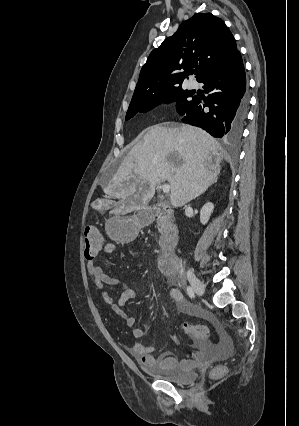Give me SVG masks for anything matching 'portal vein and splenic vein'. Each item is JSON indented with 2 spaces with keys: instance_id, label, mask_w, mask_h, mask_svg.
Returning <instances> with one entry per match:
<instances>
[{
  "instance_id": "1",
  "label": "portal vein and splenic vein",
  "mask_w": 299,
  "mask_h": 426,
  "mask_svg": "<svg viewBox=\"0 0 299 426\" xmlns=\"http://www.w3.org/2000/svg\"><path fill=\"white\" fill-rule=\"evenodd\" d=\"M160 188H162V191H163L164 193H169V192H170V189H171V187H170V185H169V184H162V185L160 186Z\"/></svg>"
}]
</instances>
